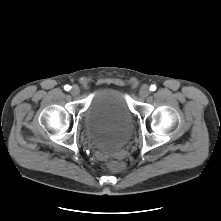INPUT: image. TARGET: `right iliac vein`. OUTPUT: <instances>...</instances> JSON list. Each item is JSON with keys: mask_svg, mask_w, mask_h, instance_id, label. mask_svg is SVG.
Masks as SVG:
<instances>
[{"mask_svg": "<svg viewBox=\"0 0 221 221\" xmlns=\"http://www.w3.org/2000/svg\"><path fill=\"white\" fill-rule=\"evenodd\" d=\"M80 93V89L77 85H74L71 89V94L73 96H77Z\"/></svg>", "mask_w": 221, "mask_h": 221, "instance_id": "1", "label": "right iliac vein"}]
</instances>
